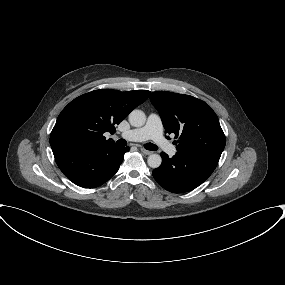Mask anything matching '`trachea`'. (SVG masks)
I'll return each mask as SVG.
<instances>
[{
  "instance_id": "1",
  "label": "trachea",
  "mask_w": 285,
  "mask_h": 285,
  "mask_svg": "<svg viewBox=\"0 0 285 285\" xmlns=\"http://www.w3.org/2000/svg\"><path fill=\"white\" fill-rule=\"evenodd\" d=\"M116 143L119 146H126L127 145V142L124 139H119ZM144 147H145V149L151 150V151H156L158 149V147L152 143H146L144 145Z\"/></svg>"
}]
</instances>
